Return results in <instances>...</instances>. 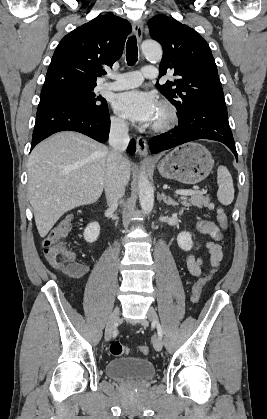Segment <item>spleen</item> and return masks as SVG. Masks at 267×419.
<instances>
[{
	"mask_svg": "<svg viewBox=\"0 0 267 419\" xmlns=\"http://www.w3.org/2000/svg\"><path fill=\"white\" fill-rule=\"evenodd\" d=\"M218 192L217 198L223 205H229L234 199V186L230 172L225 166H219L217 170Z\"/></svg>",
	"mask_w": 267,
	"mask_h": 419,
	"instance_id": "obj_1",
	"label": "spleen"
}]
</instances>
